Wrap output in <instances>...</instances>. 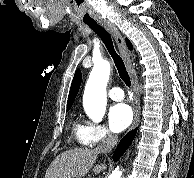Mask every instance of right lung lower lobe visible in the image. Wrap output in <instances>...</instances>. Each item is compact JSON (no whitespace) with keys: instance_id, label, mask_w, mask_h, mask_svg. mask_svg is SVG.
<instances>
[{"instance_id":"98d812e1","label":"right lung lower lobe","mask_w":194,"mask_h":178,"mask_svg":"<svg viewBox=\"0 0 194 178\" xmlns=\"http://www.w3.org/2000/svg\"><path fill=\"white\" fill-rule=\"evenodd\" d=\"M137 130H133L131 132H129L121 141L119 146L117 147L114 155H113V159L114 161H117L121 155L126 151V149L130 146L132 140L135 137Z\"/></svg>"}]
</instances>
